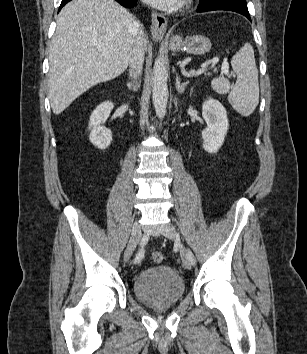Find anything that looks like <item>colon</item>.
<instances>
[{
	"instance_id": "5ec220e1",
	"label": "colon",
	"mask_w": 307,
	"mask_h": 354,
	"mask_svg": "<svg viewBox=\"0 0 307 354\" xmlns=\"http://www.w3.org/2000/svg\"><path fill=\"white\" fill-rule=\"evenodd\" d=\"M152 260L155 262V263H160L163 261V255L162 253L160 252H154L152 253Z\"/></svg>"
}]
</instances>
